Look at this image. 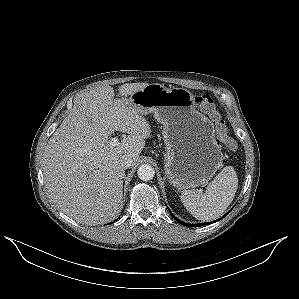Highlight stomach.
I'll return each instance as SVG.
<instances>
[{"instance_id":"1","label":"stomach","mask_w":299,"mask_h":299,"mask_svg":"<svg viewBox=\"0 0 299 299\" xmlns=\"http://www.w3.org/2000/svg\"><path fill=\"white\" fill-rule=\"evenodd\" d=\"M128 101L142 115L153 113L163 125L164 169L175 188L203 185L222 166L224 156L216 141L214 126L196 110L190 91L152 83L132 93Z\"/></svg>"}]
</instances>
